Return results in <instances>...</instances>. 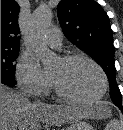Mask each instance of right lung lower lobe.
<instances>
[{
  "label": "right lung lower lobe",
  "instance_id": "obj_1",
  "mask_svg": "<svg viewBox=\"0 0 123 130\" xmlns=\"http://www.w3.org/2000/svg\"><path fill=\"white\" fill-rule=\"evenodd\" d=\"M1 83L5 84V85H8V86H14L16 84V83H12L10 81L4 80V79H1Z\"/></svg>",
  "mask_w": 123,
  "mask_h": 130
}]
</instances>
